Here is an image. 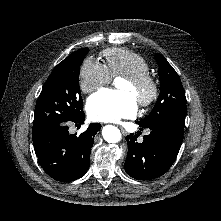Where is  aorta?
<instances>
[{
    "label": "aorta",
    "instance_id": "aorta-1",
    "mask_svg": "<svg viewBox=\"0 0 221 221\" xmlns=\"http://www.w3.org/2000/svg\"><path fill=\"white\" fill-rule=\"evenodd\" d=\"M102 136L108 143H117L121 140L120 130L112 125H107L103 128Z\"/></svg>",
    "mask_w": 221,
    "mask_h": 221
}]
</instances>
